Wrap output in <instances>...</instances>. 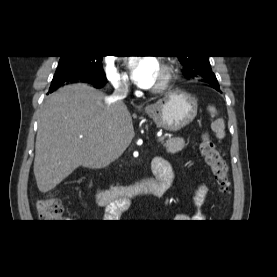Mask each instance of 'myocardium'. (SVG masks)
Returning a JSON list of instances; mask_svg holds the SVG:
<instances>
[{
	"label": "myocardium",
	"mask_w": 277,
	"mask_h": 277,
	"mask_svg": "<svg viewBox=\"0 0 277 277\" xmlns=\"http://www.w3.org/2000/svg\"><path fill=\"white\" fill-rule=\"evenodd\" d=\"M161 68L163 71V76L161 80L152 88V92L158 93L165 91L170 86L172 80H173V69L168 63H161Z\"/></svg>",
	"instance_id": "obj_1"
}]
</instances>
